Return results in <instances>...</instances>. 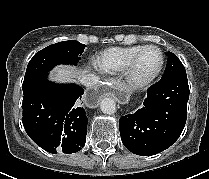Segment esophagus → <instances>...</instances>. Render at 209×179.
<instances>
[{
	"instance_id": "obj_1",
	"label": "esophagus",
	"mask_w": 209,
	"mask_h": 179,
	"mask_svg": "<svg viewBox=\"0 0 209 179\" xmlns=\"http://www.w3.org/2000/svg\"><path fill=\"white\" fill-rule=\"evenodd\" d=\"M108 95L111 98H115L120 105L125 104L130 99V94L122 90V88L115 83L103 82L87 91L85 103L88 106H95L102 97Z\"/></svg>"
}]
</instances>
